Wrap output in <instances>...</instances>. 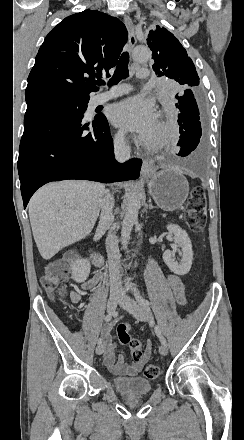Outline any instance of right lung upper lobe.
Here are the masks:
<instances>
[{
    "instance_id": "1",
    "label": "right lung upper lobe",
    "mask_w": 244,
    "mask_h": 440,
    "mask_svg": "<svg viewBox=\"0 0 244 440\" xmlns=\"http://www.w3.org/2000/svg\"><path fill=\"white\" fill-rule=\"evenodd\" d=\"M127 29L98 10L66 17L46 36L28 77L26 99L90 98L94 78L109 77L127 42Z\"/></svg>"
}]
</instances>
